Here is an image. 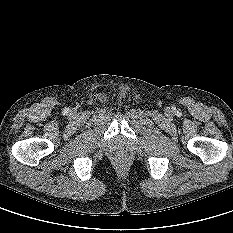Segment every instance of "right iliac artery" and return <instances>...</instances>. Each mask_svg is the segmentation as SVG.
Masks as SVG:
<instances>
[{
    "instance_id": "1",
    "label": "right iliac artery",
    "mask_w": 233,
    "mask_h": 233,
    "mask_svg": "<svg viewBox=\"0 0 233 233\" xmlns=\"http://www.w3.org/2000/svg\"><path fill=\"white\" fill-rule=\"evenodd\" d=\"M69 110L68 109H65V113H67Z\"/></svg>"
}]
</instances>
